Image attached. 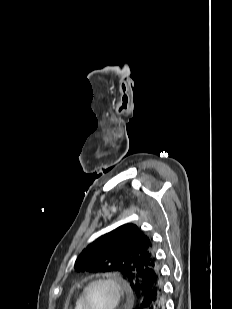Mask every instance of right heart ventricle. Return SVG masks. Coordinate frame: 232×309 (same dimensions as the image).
Listing matches in <instances>:
<instances>
[{
  "label": "right heart ventricle",
  "instance_id": "e07e8e85",
  "mask_svg": "<svg viewBox=\"0 0 232 309\" xmlns=\"http://www.w3.org/2000/svg\"><path fill=\"white\" fill-rule=\"evenodd\" d=\"M74 309H81L80 297L76 300L74 304Z\"/></svg>",
  "mask_w": 232,
  "mask_h": 309
}]
</instances>
